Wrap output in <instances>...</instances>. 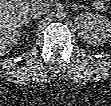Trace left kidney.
Returning <instances> with one entry per match:
<instances>
[{
  "instance_id": "obj_1",
  "label": "left kidney",
  "mask_w": 111,
  "mask_h": 106,
  "mask_svg": "<svg viewBox=\"0 0 111 106\" xmlns=\"http://www.w3.org/2000/svg\"><path fill=\"white\" fill-rule=\"evenodd\" d=\"M79 35L89 44L98 45L111 37V22L101 14L81 13L75 18Z\"/></svg>"
}]
</instances>
